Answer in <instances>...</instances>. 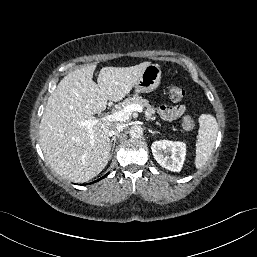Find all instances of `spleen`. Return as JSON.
<instances>
[{"label":"spleen","mask_w":257,"mask_h":257,"mask_svg":"<svg viewBox=\"0 0 257 257\" xmlns=\"http://www.w3.org/2000/svg\"><path fill=\"white\" fill-rule=\"evenodd\" d=\"M198 121L200 127L196 142L195 166L200 169L212 153L218 133V124L215 117L210 114H201Z\"/></svg>","instance_id":"1"}]
</instances>
